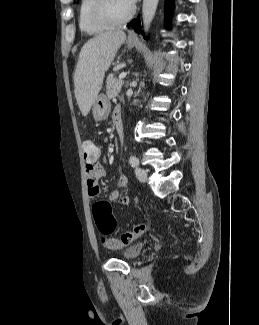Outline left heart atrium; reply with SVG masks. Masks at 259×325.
<instances>
[{"label":"left heart atrium","instance_id":"39dd6f15","mask_svg":"<svg viewBox=\"0 0 259 325\" xmlns=\"http://www.w3.org/2000/svg\"><path fill=\"white\" fill-rule=\"evenodd\" d=\"M128 4L133 5L136 0H125Z\"/></svg>","mask_w":259,"mask_h":325}]
</instances>
